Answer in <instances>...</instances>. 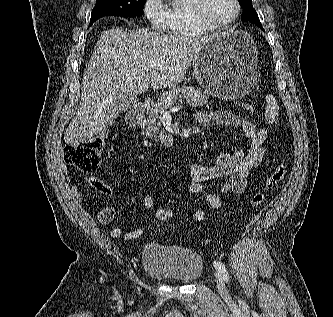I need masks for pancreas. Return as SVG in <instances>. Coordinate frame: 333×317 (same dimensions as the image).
Returning a JSON list of instances; mask_svg holds the SVG:
<instances>
[{
    "label": "pancreas",
    "instance_id": "cf45deb5",
    "mask_svg": "<svg viewBox=\"0 0 333 317\" xmlns=\"http://www.w3.org/2000/svg\"><path fill=\"white\" fill-rule=\"evenodd\" d=\"M208 98L209 94L207 92L190 85L175 87L163 93L157 103L151 108L148 115L149 125L144 131V134L148 138L159 137L162 143H166V140L170 139V136L160 131L162 117L165 111L172 107L174 102H183L184 99H186L192 107H201L208 103Z\"/></svg>",
    "mask_w": 333,
    "mask_h": 317
}]
</instances>
